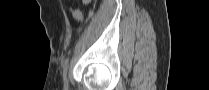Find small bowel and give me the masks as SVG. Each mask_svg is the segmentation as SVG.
Wrapping results in <instances>:
<instances>
[{
	"label": "small bowel",
	"mask_w": 209,
	"mask_h": 90,
	"mask_svg": "<svg viewBox=\"0 0 209 90\" xmlns=\"http://www.w3.org/2000/svg\"><path fill=\"white\" fill-rule=\"evenodd\" d=\"M85 4H88L89 1L88 0H85L84 1ZM70 12L72 14V16L76 19V20H79V21H82L83 20V14L81 13V11L77 10V9H74L72 7H70Z\"/></svg>",
	"instance_id": "1"
}]
</instances>
